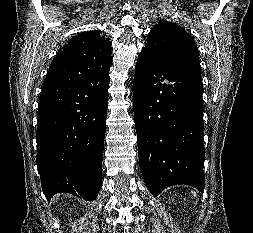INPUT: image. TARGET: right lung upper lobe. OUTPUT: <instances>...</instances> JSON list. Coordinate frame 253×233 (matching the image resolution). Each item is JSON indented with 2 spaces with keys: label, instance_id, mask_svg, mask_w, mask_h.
Wrapping results in <instances>:
<instances>
[{
  "label": "right lung upper lobe",
  "instance_id": "cb5924a9",
  "mask_svg": "<svg viewBox=\"0 0 253 233\" xmlns=\"http://www.w3.org/2000/svg\"><path fill=\"white\" fill-rule=\"evenodd\" d=\"M112 65L111 44L98 31H87L72 39L53 59L45 83L100 74Z\"/></svg>",
  "mask_w": 253,
  "mask_h": 233
}]
</instances>
